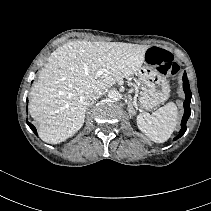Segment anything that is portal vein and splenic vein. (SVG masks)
I'll return each instance as SVG.
<instances>
[{
  "instance_id": "obj_1",
  "label": "portal vein and splenic vein",
  "mask_w": 211,
  "mask_h": 211,
  "mask_svg": "<svg viewBox=\"0 0 211 211\" xmlns=\"http://www.w3.org/2000/svg\"><path fill=\"white\" fill-rule=\"evenodd\" d=\"M103 74V70H99L98 72H97V76L99 77L100 75H102Z\"/></svg>"
}]
</instances>
